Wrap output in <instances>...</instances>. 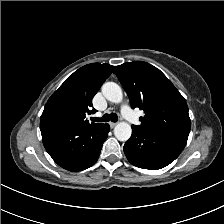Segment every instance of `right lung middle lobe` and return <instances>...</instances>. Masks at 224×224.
<instances>
[{"label": "right lung middle lobe", "mask_w": 224, "mask_h": 224, "mask_svg": "<svg viewBox=\"0 0 224 224\" xmlns=\"http://www.w3.org/2000/svg\"><path fill=\"white\" fill-rule=\"evenodd\" d=\"M49 119H53V120H58V121H63V117L60 113L58 112H53L49 115Z\"/></svg>", "instance_id": "1"}]
</instances>
